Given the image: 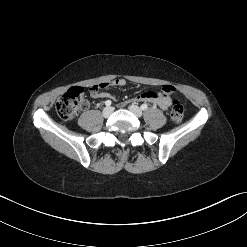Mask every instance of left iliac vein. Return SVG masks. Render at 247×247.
I'll return each mask as SVG.
<instances>
[{"mask_svg": "<svg viewBox=\"0 0 247 247\" xmlns=\"http://www.w3.org/2000/svg\"><path fill=\"white\" fill-rule=\"evenodd\" d=\"M129 110L135 114L137 117H141L142 116V110L137 106V105H130L129 106Z\"/></svg>", "mask_w": 247, "mask_h": 247, "instance_id": "4c4485c4", "label": "left iliac vein"}]
</instances>
